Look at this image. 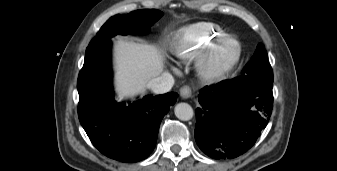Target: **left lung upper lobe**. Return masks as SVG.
<instances>
[{"mask_svg": "<svg viewBox=\"0 0 337 171\" xmlns=\"http://www.w3.org/2000/svg\"><path fill=\"white\" fill-rule=\"evenodd\" d=\"M242 75H259L273 77V71L268 61V55L262 43H259L257 50L251 60L245 65Z\"/></svg>", "mask_w": 337, "mask_h": 171, "instance_id": "obj_1", "label": "left lung upper lobe"}]
</instances>
